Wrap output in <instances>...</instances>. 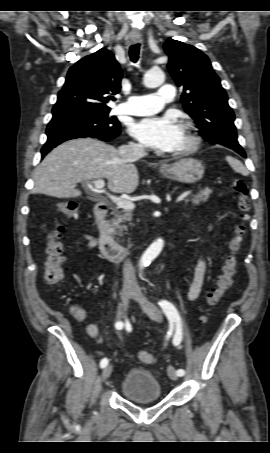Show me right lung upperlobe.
Here are the masks:
<instances>
[{"label": "right lung upper lobe", "instance_id": "right-lung-upper-lobe-1", "mask_svg": "<svg viewBox=\"0 0 270 453\" xmlns=\"http://www.w3.org/2000/svg\"><path fill=\"white\" fill-rule=\"evenodd\" d=\"M122 71L112 52L102 48L75 63L53 107L54 117L87 111L110 110L121 88Z\"/></svg>", "mask_w": 270, "mask_h": 453}]
</instances>
